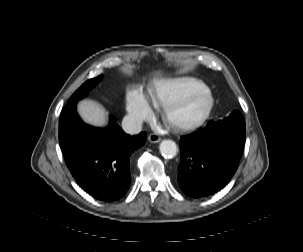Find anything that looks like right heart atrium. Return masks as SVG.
Listing matches in <instances>:
<instances>
[{"mask_svg": "<svg viewBox=\"0 0 303 252\" xmlns=\"http://www.w3.org/2000/svg\"><path fill=\"white\" fill-rule=\"evenodd\" d=\"M125 108L128 113V119L140 124L148 120L153 114V108L142 93L138 90H131L127 94Z\"/></svg>", "mask_w": 303, "mask_h": 252, "instance_id": "right-heart-atrium-1", "label": "right heart atrium"}]
</instances>
